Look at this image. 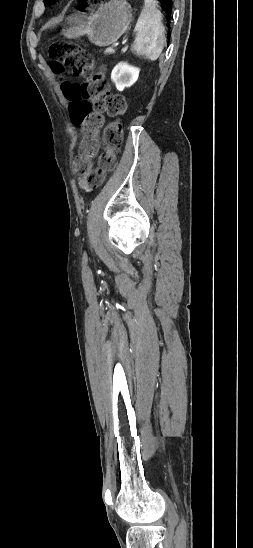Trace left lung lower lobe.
Here are the masks:
<instances>
[{"mask_svg":"<svg viewBox=\"0 0 253 548\" xmlns=\"http://www.w3.org/2000/svg\"><path fill=\"white\" fill-rule=\"evenodd\" d=\"M163 11L166 13L167 17L170 19L172 15L173 0H158Z\"/></svg>","mask_w":253,"mask_h":548,"instance_id":"left-lung-lower-lobe-1","label":"left lung lower lobe"}]
</instances>
